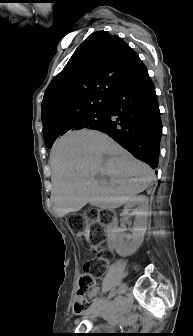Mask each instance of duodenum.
<instances>
[{
    "mask_svg": "<svg viewBox=\"0 0 193 336\" xmlns=\"http://www.w3.org/2000/svg\"><path fill=\"white\" fill-rule=\"evenodd\" d=\"M115 227V223L113 222L112 224H111V228H114ZM112 240V239H111ZM112 241L110 242V248H112Z\"/></svg>",
    "mask_w": 193,
    "mask_h": 336,
    "instance_id": "duodenum-1",
    "label": "duodenum"
}]
</instances>
